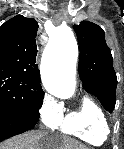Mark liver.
<instances>
[{
    "label": "liver",
    "instance_id": "liver-1",
    "mask_svg": "<svg viewBox=\"0 0 124 149\" xmlns=\"http://www.w3.org/2000/svg\"><path fill=\"white\" fill-rule=\"evenodd\" d=\"M87 149L78 141L67 137H59L46 131H31L7 140L0 149Z\"/></svg>",
    "mask_w": 124,
    "mask_h": 149
}]
</instances>
